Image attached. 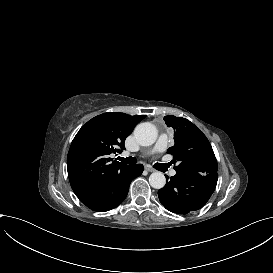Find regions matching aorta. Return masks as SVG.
<instances>
[{
    "instance_id": "aorta-1",
    "label": "aorta",
    "mask_w": 273,
    "mask_h": 273,
    "mask_svg": "<svg viewBox=\"0 0 273 273\" xmlns=\"http://www.w3.org/2000/svg\"><path fill=\"white\" fill-rule=\"evenodd\" d=\"M134 137L141 146H150L157 139V129L149 122L140 123L134 130ZM149 183L151 187L161 189L166 184V178L163 173L154 172L149 177Z\"/></svg>"
}]
</instances>
